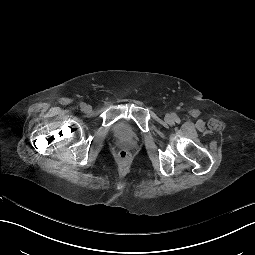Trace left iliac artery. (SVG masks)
<instances>
[{
	"mask_svg": "<svg viewBox=\"0 0 255 255\" xmlns=\"http://www.w3.org/2000/svg\"><path fill=\"white\" fill-rule=\"evenodd\" d=\"M175 121H176L177 123H179V122H180V118H179V117H176V118H175Z\"/></svg>",
	"mask_w": 255,
	"mask_h": 255,
	"instance_id": "44dca946",
	"label": "left iliac artery"
}]
</instances>
